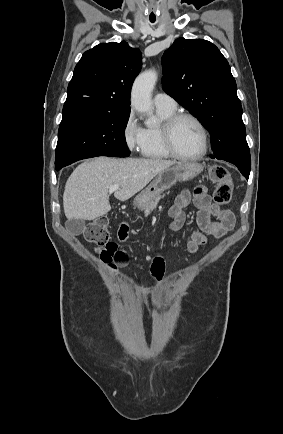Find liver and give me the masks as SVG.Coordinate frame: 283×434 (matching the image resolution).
I'll return each instance as SVG.
<instances>
[{"mask_svg": "<svg viewBox=\"0 0 283 434\" xmlns=\"http://www.w3.org/2000/svg\"><path fill=\"white\" fill-rule=\"evenodd\" d=\"M177 164L160 159L96 157L76 167L63 195L64 213L72 219L94 220L111 210L109 188L119 185L114 197L122 202L141 191L160 172Z\"/></svg>", "mask_w": 283, "mask_h": 434, "instance_id": "6515ba94", "label": "liver"}]
</instances>
